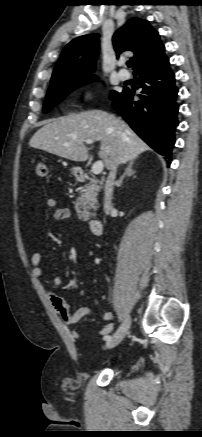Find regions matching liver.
<instances>
[{
    "label": "liver",
    "instance_id": "1",
    "mask_svg": "<svg viewBox=\"0 0 202 437\" xmlns=\"http://www.w3.org/2000/svg\"><path fill=\"white\" fill-rule=\"evenodd\" d=\"M86 140L101 142L98 155L108 170L136 159L149 149L125 121L102 110L49 120L32 136L29 146L84 162L88 159Z\"/></svg>",
    "mask_w": 202,
    "mask_h": 437
}]
</instances>
